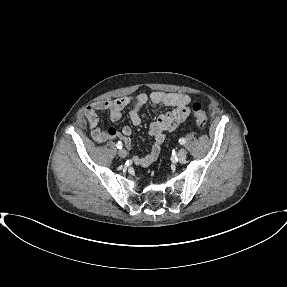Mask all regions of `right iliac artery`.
Masks as SVG:
<instances>
[{"mask_svg":"<svg viewBox=\"0 0 287 287\" xmlns=\"http://www.w3.org/2000/svg\"><path fill=\"white\" fill-rule=\"evenodd\" d=\"M116 146H117L118 149H122L123 144H122L121 141H119V142L116 144Z\"/></svg>","mask_w":287,"mask_h":287,"instance_id":"obj_1","label":"right iliac artery"}]
</instances>
